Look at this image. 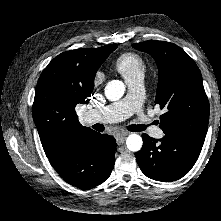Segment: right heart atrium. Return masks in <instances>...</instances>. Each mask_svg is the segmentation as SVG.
Here are the masks:
<instances>
[{
	"instance_id": "1",
	"label": "right heart atrium",
	"mask_w": 221,
	"mask_h": 221,
	"mask_svg": "<svg viewBox=\"0 0 221 221\" xmlns=\"http://www.w3.org/2000/svg\"><path fill=\"white\" fill-rule=\"evenodd\" d=\"M104 82V74L101 71H97L92 78L93 86L97 87Z\"/></svg>"
}]
</instances>
